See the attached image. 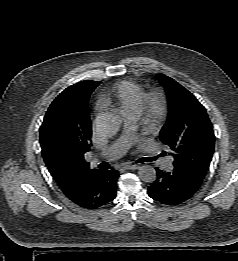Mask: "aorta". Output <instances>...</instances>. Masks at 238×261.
Instances as JSON below:
<instances>
[{
	"label": "aorta",
	"mask_w": 238,
	"mask_h": 261,
	"mask_svg": "<svg viewBox=\"0 0 238 261\" xmlns=\"http://www.w3.org/2000/svg\"><path fill=\"white\" fill-rule=\"evenodd\" d=\"M122 118L115 112L100 114L96 120V131L104 137H111L119 130ZM139 178L144 182L156 180V170L151 165H143L138 171Z\"/></svg>",
	"instance_id": "762f6f07"
}]
</instances>
